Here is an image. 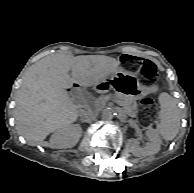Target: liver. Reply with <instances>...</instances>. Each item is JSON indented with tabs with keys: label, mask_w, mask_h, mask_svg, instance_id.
Returning <instances> with one entry per match:
<instances>
[{
	"label": "liver",
	"mask_w": 194,
	"mask_h": 193,
	"mask_svg": "<svg viewBox=\"0 0 194 193\" xmlns=\"http://www.w3.org/2000/svg\"><path fill=\"white\" fill-rule=\"evenodd\" d=\"M119 64L105 55L74 57L63 53L51 54L34 63L25 73L16 96L18 132L31 146H49L45 138L78 117L77 106L66 89L74 83L96 86L119 71Z\"/></svg>",
	"instance_id": "liver-1"
}]
</instances>
